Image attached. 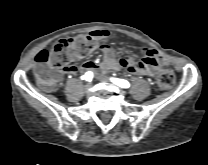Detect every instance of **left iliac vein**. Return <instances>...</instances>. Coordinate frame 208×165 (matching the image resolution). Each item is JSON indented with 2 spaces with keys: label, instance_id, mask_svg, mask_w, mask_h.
<instances>
[{
  "label": "left iliac vein",
  "instance_id": "obj_1",
  "mask_svg": "<svg viewBox=\"0 0 208 165\" xmlns=\"http://www.w3.org/2000/svg\"><path fill=\"white\" fill-rule=\"evenodd\" d=\"M100 81L105 82V83H110V80L107 77H101Z\"/></svg>",
  "mask_w": 208,
  "mask_h": 165
}]
</instances>
